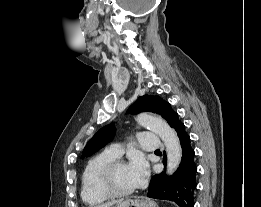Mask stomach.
<instances>
[{
	"label": "stomach",
	"mask_w": 261,
	"mask_h": 207,
	"mask_svg": "<svg viewBox=\"0 0 261 207\" xmlns=\"http://www.w3.org/2000/svg\"><path fill=\"white\" fill-rule=\"evenodd\" d=\"M114 207H158V205L149 199H126Z\"/></svg>",
	"instance_id": "obj_1"
}]
</instances>
